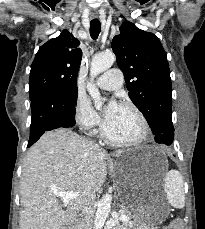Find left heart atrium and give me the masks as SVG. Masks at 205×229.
I'll list each match as a JSON object with an SVG mask.
<instances>
[{"label": "left heart atrium", "instance_id": "39dd6f15", "mask_svg": "<svg viewBox=\"0 0 205 229\" xmlns=\"http://www.w3.org/2000/svg\"><path fill=\"white\" fill-rule=\"evenodd\" d=\"M120 105L116 101H111L105 111H104V118L105 120L108 119L119 107Z\"/></svg>", "mask_w": 205, "mask_h": 229}]
</instances>
